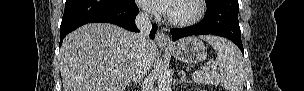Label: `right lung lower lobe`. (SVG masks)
<instances>
[{"instance_id":"98d812e1","label":"right lung lower lobe","mask_w":304,"mask_h":91,"mask_svg":"<svg viewBox=\"0 0 304 91\" xmlns=\"http://www.w3.org/2000/svg\"><path fill=\"white\" fill-rule=\"evenodd\" d=\"M139 13L134 0H66L60 26V45L64 37L76 28L92 22H109L129 31L139 32L135 25ZM156 24L150 32L153 39Z\"/></svg>"}]
</instances>
